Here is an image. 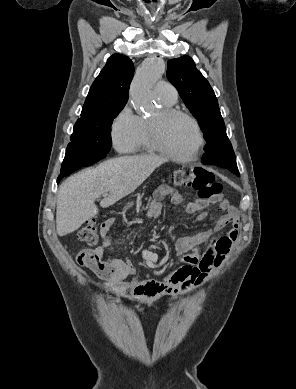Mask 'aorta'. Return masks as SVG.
<instances>
[{"mask_svg": "<svg viewBox=\"0 0 296 389\" xmlns=\"http://www.w3.org/2000/svg\"><path fill=\"white\" fill-rule=\"evenodd\" d=\"M164 71V62L156 56L147 58L137 69L130 88L131 100L136 107L145 109L153 107L152 89Z\"/></svg>", "mask_w": 296, "mask_h": 389, "instance_id": "1", "label": "aorta"}]
</instances>
